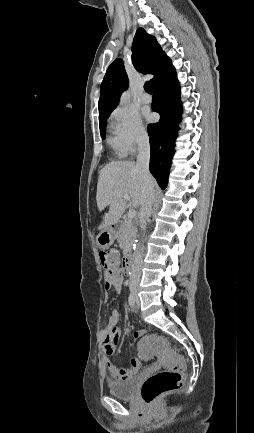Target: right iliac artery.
Here are the masks:
<instances>
[{
    "mask_svg": "<svg viewBox=\"0 0 254 433\" xmlns=\"http://www.w3.org/2000/svg\"><path fill=\"white\" fill-rule=\"evenodd\" d=\"M128 302H129V305L131 307H134V305H135V298H134V295L132 293L129 295Z\"/></svg>",
    "mask_w": 254,
    "mask_h": 433,
    "instance_id": "82829eb1",
    "label": "right iliac artery"
}]
</instances>
